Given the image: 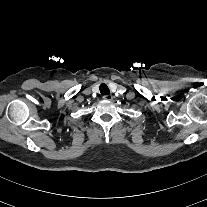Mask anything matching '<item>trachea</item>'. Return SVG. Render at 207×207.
Wrapping results in <instances>:
<instances>
[{"label":"trachea","mask_w":207,"mask_h":207,"mask_svg":"<svg viewBox=\"0 0 207 207\" xmlns=\"http://www.w3.org/2000/svg\"><path fill=\"white\" fill-rule=\"evenodd\" d=\"M99 89L102 95H106L110 93V90L106 84H101Z\"/></svg>","instance_id":"trachea-1"}]
</instances>
